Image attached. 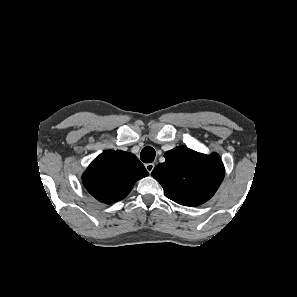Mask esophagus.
I'll return each mask as SVG.
<instances>
[{"mask_svg":"<svg viewBox=\"0 0 297 297\" xmlns=\"http://www.w3.org/2000/svg\"><path fill=\"white\" fill-rule=\"evenodd\" d=\"M154 167H155V165L153 163L145 164V168L149 173H151L153 171Z\"/></svg>","mask_w":297,"mask_h":297,"instance_id":"34e87169","label":"esophagus"}]
</instances>
